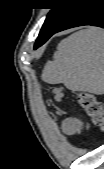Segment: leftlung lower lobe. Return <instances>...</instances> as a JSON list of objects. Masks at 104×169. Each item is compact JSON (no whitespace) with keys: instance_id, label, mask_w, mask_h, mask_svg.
I'll return each instance as SVG.
<instances>
[{"instance_id":"obj_1","label":"left lung lower lobe","mask_w":104,"mask_h":169,"mask_svg":"<svg viewBox=\"0 0 104 169\" xmlns=\"http://www.w3.org/2000/svg\"><path fill=\"white\" fill-rule=\"evenodd\" d=\"M83 25L104 28L103 0H76L72 10L53 31L46 35L42 30L40 31L34 49L40 47L57 32Z\"/></svg>"}]
</instances>
